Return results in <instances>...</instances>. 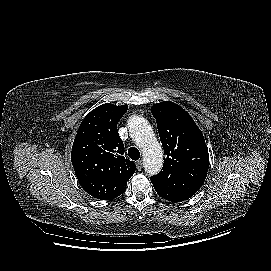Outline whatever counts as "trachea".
Here are the masks:
<instances>
[{"instance_id":"3493384b","label":"trachea","mask_w":271,"mask_h":271,"mask_svg":"<svg viewBox=\"0 0 271 271\" xmlns=\"http://www.w3.org/2000/svg\"><path fill=\"white\" fill-rule=\"evenodd\" d=\"M128 156L132 160H138L140 158V152L136 147H131L128 150Z\"/></svg>"}]
</instances>
